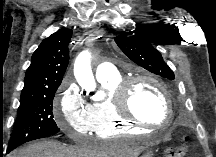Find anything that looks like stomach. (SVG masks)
I'll use <instances>...</instances> for the list:
<instances>
[{
	"label": "stomach",
	"mask_w": 216,
	"mask_h": 157,
	"mask_svg": "<svg viewBox=\"0 0 216 157\" xmlns=\"http://www.w3.org/2000/svg\"><path fill=\"white\" fill-rule=\"evenodd\" d=\"M140 157H152V154H151V153H145V154H143V155L140 156Z\"/></svg>",
	"instance_id": "obj_1"
}]
</instances>
